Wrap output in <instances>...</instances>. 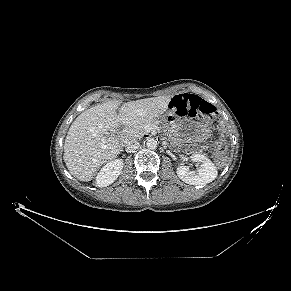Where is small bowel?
I'll use <instances>...</instances> for the list:
<instances>
[{
  "mask_svg": "<svg viewBox=\"0 0 291 291\" xmlns=\"http://www.w3.org/2000/svg\"><path fill=\"white\" fill-rule=\"evenodd\" d=\"M181 95H185V96H197V95H194V94H181Z\"/></svg>",
  "mask_w": 291,
  "mask_h": 291,
  "instance_id": "obj_1",
  "label": "small bowel"
}]
</instances>
